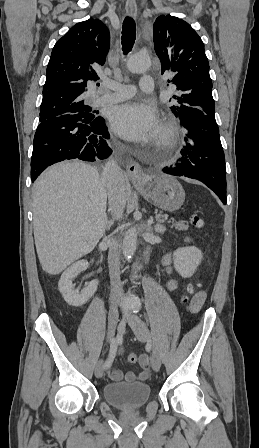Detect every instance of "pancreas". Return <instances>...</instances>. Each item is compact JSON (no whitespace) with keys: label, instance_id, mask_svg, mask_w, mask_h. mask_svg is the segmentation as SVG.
<instances>
[{"label":"pancreas","instance_id":"1","mask_svg":"<svg viewBox=\"0 0 259 448\" xmlns=\"http://www.w3.org/2000/svg\"><path fill=\"white\" fill-rule=\"evenodd\" d=\"M160 217H165L167 219V216ZM171 220H173V218H171ZM170 228H176V230H188L189 226H186L185 222H175V224H173V226H170Z\"/></svg>","mask_w":259,"mask_h":448}]
</instances>
